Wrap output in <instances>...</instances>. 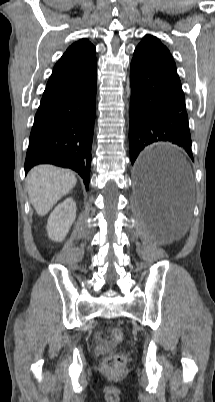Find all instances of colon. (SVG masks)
Segmentation results:
<instances>
[{
	"instance_id": "obj_1",
	"label": "colon",
	"mask_w": 215,
	"mask_h": 402,
	"mask_svg": "<svg viewBox=\"0 0 215 402\" xmlns=\"http://www.w3.org/2000/svg\"><path fill=\"white\" fill-rule=\"evenodd\" d=\"M122 332L120 329L113 328L108 333V341L117 344L122 340ZM126 363V356L122 353L114 354L105 359L103 366L108 373H118L122 370Z\"/></svg>"
}]
</instances>
